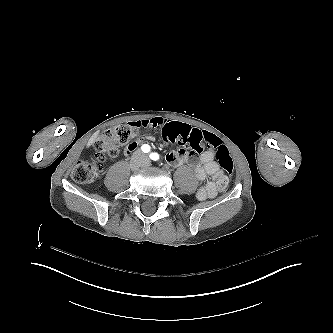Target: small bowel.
Here are the masks:
<instances>
[{"label": "small bowel", "mask_w": 333, "mask_h": 333, "mask_svg": "<svg viewBox=\"0 0 333 333\" xmlns=\"http://www.w3.org/2000/svg\"><path fill=\"white\" fill-rule=\"evenodd\" d=\"M133 126L136 128H159L161 130L172 131H194L186 128L183 124L171 121L164 117H151L134 121ZM153 140L152 136L141 137L139 140ZM160 142L158 139L155 141ZM163 146H168V141H163ZM137 149V142L126 145L123 150L125 156L131 155ZM189 155L185 149L171 150L166 153L165 161L170 165H183L188 162ZM195 177L198 181L203 182L207 177L211 179L201 186L197 193V199L203 201L214 198L220 191L224 189L227 183V176L223 169L214 160V151L207 150L200 155L199 163L195 166Z\"/></svg>", "instance_id": "1"}]
</instances>
